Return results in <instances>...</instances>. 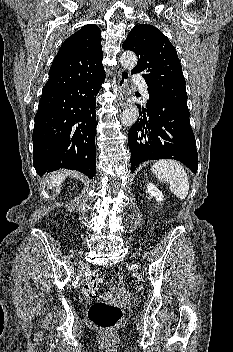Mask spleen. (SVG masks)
Listing matches in <instances>:
<instances>
[{
  "mask_svg": "<svg viewBox=\"0 0 233 352\" xmlns=\"http://www.w3.org/2000/svg\"><path fill=\"white\" fill-rule=\"evenodd\" d=\"M153 174L163 183H168L171 192L179 199H185L189 181L183 166L174 160H160L151 168Z\"/></svg>",
  "mask_w": 233,
  "mask_h": 352,
  "instance_id": "spleen-1",
  "label": "spleen"
}]
</instances>
